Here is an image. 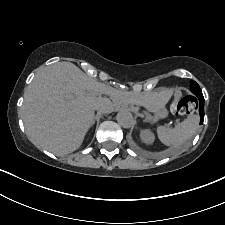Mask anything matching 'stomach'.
I'll return each mask as SVG.
<instances>
[{"mask_svg": "<svg viewBox=\"0 0 225 225\" xmlns=\"http://www.w3.org/2000/svg\"><path fill=\"white\" fill-rule=\"evenodd\" d=\"M170 98V94L168 91L159 92L151 95L144 103L149 111L155 113H163V116H166L165 105Z\"/></svg>", "mask_w": 225, "mask_h": 225, "instance_id": "1", "label": "stomach"}]
</instances>
